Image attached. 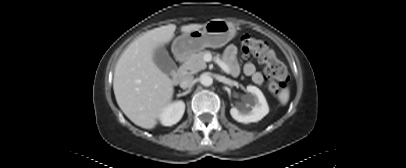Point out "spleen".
<instances>
[{
	"mask_svg": "<svg viewBox=\"0 0 406 168\" xmlns=\"http://www.w3.org/2000/svg\"><path fill=\"white\" fill-rule=\"evenodd\" d=\"M278 99L282 105H286L289 100V89L285 88L281 90V92L278 95Z\"/></svg>",
	"mask_w": 406,
	"mask_h": 168,
	"instance_id": "3e777b00",
	"label": "spleen"
}]
</instances>
